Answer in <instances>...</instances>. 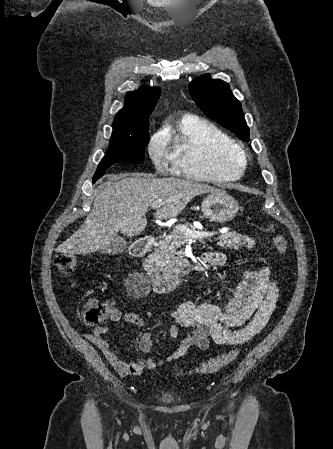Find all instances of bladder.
Here are the masks:
<instances>
[{"instance_id": "31cf9c89", "label": "bladder", "mask_w": 333, "mask_h": 449, "mask_svg": "<svg viewBox=\"0 0 333 449\" xmlns=\"http://www.w3.org/2000/svg\"><path fill=\"white\" fill-rule=\"evenodd\" d=\"M160 400H161V402H163V403L169 404V403H172V402L174 401V397H173V395H172L171 392H169V391H163V392L160 394Z\"/></svg>"}]
</instances>
